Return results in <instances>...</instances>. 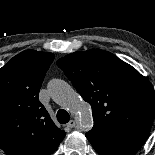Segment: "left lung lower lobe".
Listing matches in <instances>:
<instances>
[{
  "label": "left lung lower lobe",
  "instance_id": "obj_1",
  "mask_svg": "<svg viewBox=\"0 0 155 155\" xmlns=\"http://www.w3.org/2000/svg\"><path fill=\"white\" fill-rule=\"evenodd\" d=\"M151 127L89 131L86 137L93 148L102 155H134L145 143Z\"/></svg>",
  "mask_w": 155,
  "mask_h": 155
}]
</instances>
